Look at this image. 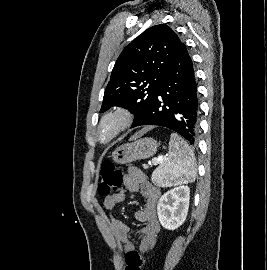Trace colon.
<instances>
[{
    "label": "colon",
    "instance_id": "obj_1",
    "mask_svg": "<svg viewBox=\"0 0 267 270\" xmlns=\"http://www.w3.org/2000/svg\"><path fill=\"white\" fill-rule=\"evenodd\" d=\"M123 181V173L111 160H105L100 168V183L98 193L107 197L120 188ZM143 256L137 249H133L125 255V270H142Z\"/></svg>",
    "mask_w": 267,
    "mask_h": 270
}]
</instances>
